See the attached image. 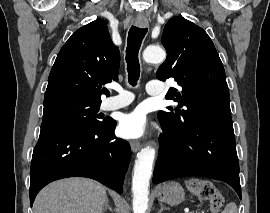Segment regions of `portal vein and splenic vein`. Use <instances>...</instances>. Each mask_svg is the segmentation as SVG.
Returning <instances> with one entry per match:
<instances>
[{"label":"portal vein and splenic vein","instance_id":"18ae733b","mask_svg":"<svg viewBox=\"0 0 270 213\" xmlns=\"http://www.w3.org/2000/svg\"><path fill=\"white\" fill-rule=\"evenodd\" d=\"M186 212H188V213H194V212H189V211H186Z\"/></svg>","mask_w":270,"mask_h":213}]
</instances>
